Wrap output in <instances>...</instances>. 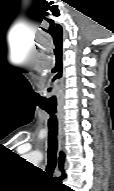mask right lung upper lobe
Here are the masks:
<instances>
[{
    "label": "right lung upper lobe",
    "instance_id": "right-lung-upper-lobe-1",
    "mask_svg": "<svg viewBox=\"0 0 114 191\" xmlns=\"http://www.w3.org/2000/svg\"><path fill=\"white\" fill-rule=\"evenodd\" d=\"M59 159H60V161H59V167H60V169L62 170V172H63V174H62V176L64 175V171H63V163H64V159H65V155H64V153H60V157H59Z\"/></svg>",
    "mask_w": 114,
    "mask_h": 191
}]
</instances>
